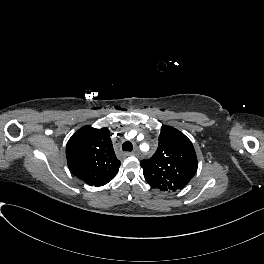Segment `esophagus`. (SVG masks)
<instances>
[{"label":"esophagus","mask_w":264,"mask_h":264,"mask_svg":"<svg viewBox=\"0 0 264 264\" xmlns=\"http://www.w3.org/2000/svg\"><path fill=\"white\" fill-rule=\"evenodd\" d=\"M130 155H136V152H127L126 156H130Z\"/></svg>","instance_id":"obj_1"}]
</instances>
